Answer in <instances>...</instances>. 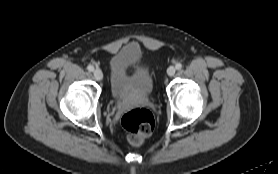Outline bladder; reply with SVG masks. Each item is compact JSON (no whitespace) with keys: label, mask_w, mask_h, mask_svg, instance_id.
Instances as JSON below:
<instances>
[{"label":"bladder","mask_w":278,"mask_h":174,"mask_svg":"<svg viewBox=\"0 0 278 174\" xmlns=\"http://www.w3.org/2000/svg\"><path fill=\"white\" fill-rule=\"evenodd\" d=\"M113 97L118 101L148 98L154 88L150 69L141 61L140 51L127 46L109 61Z\"/></svg>","instance_id":"31cf9c89"}]
</instances>
